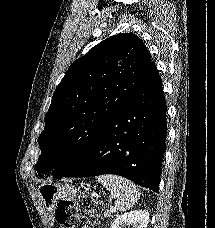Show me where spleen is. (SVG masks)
Masks as SVG:
<instances>
[{
	"label": "spleen",
	"instance_id": "spleen-1",
	"mask_svg": "<svg viewBox=\"0 0 215 228\" xmlns=\"http://www.w3.org/2000/svg\"><path fill=\"white\" fill-rule=\"evenodd\" d=\"M96 180L99 184L105 186L106 190H109L113 198H116L115 208L118 212L131 210L135 206V202L140 198L138 186L130 182V180H126V178L104 174V176H97Z\"/></svg>",
	"mask_w": 215,
	"mask_h": 228
}]
</instances>
